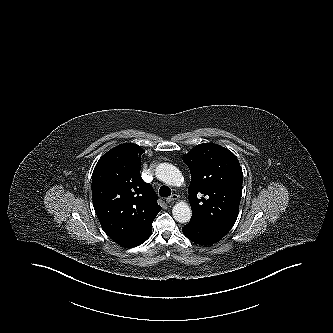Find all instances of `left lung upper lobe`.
Returning a JSON list of instances; mask_svg holds the SVG:
<instances>
[{
  "label": "left lung upper lobe",
  "instance_id": "left-lung-upper-lobe-1",
  "mask_svg": "<svg viewBox=\"0 0 333 333\" xmlns=\"http://www.w3.org/2000/svg\"><path fill=\"white\" fill-rule=\"evenodd\" d=\"M191 172L188 189L191 221L227 234L238 217L242 169L228 149L199 144L183 157Z\"/></svg>",
  "mask_w": 333,
  "mask_h": 333
}]
</instances>
